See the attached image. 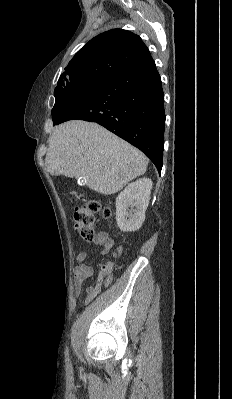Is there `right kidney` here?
<instances>
[{"mask_svg":"<svg viewBox=\"0 0 232 399\" xmlns=\"http://www.w3.org/2000/svg\"><path fill=\"white\" fill-rule=\"evenodd\" d=\"M152 182L149 178H140L128 184L116 198V221L121 231H136L145 219ZM130 207V209H129Z\"/></svg>","mask_w":232,"mask_h":399,"instance_id":"right-kidney-1","label":"right kidney"}]
</instances>
